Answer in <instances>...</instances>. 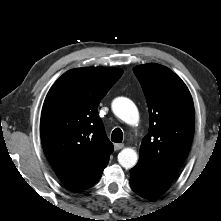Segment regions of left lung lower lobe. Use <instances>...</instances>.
<instances>
[{
	"label": "left lung lower lobe",
	"mask_w": 221,
	"mask_h": 221,
	"mask_svg": "<svg viewBox=\"0 0 221 221\" xmlns=\"http://www.w3.org/2000/svg\"><path fill=\"white\" fill-rule=\"evenodd\" d=\"M130 173L131 188L146 199H153L165 193L174 178L173 175L140 158L137 165L130 170Z\"/></svg>",
	"instance_id": "1"
}]
</instances>
